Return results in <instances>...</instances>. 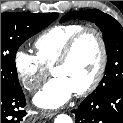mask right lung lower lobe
Listing matches in <instances>:
<instances>
[{"label": "right lung lower lobe", "instance_id": "obj_1", "mask_svg": "<svg viewBox=\"0 0 123 123\" xmlns=\"http://www.w3.org/2000/svg\"><path fill=\"white\" fill-rule=\"evenodd\" d=\"M26 105L22 89H1V123H21L26 112L22 108Z\"/></svg>", "mask_w": 123, "mask_h": 123}]
</instances>
